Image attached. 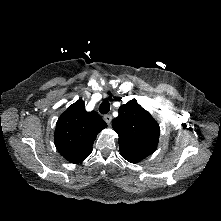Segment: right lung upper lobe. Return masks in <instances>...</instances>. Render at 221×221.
<instances>
[{"label":"right lung upper lobe","mask_w":221,"mask_h":221,"mask_svg":"<svg viewBox=\"0 0 221 221\" xmlns=\"http://www.w3.org/2000/svg\"><path fill=\"white\" fill-rule=\"evenodd\" d=\"M106 127L97 112H87L84 102L78 100L59 117L54 135L55 146L69 162L80 163L91 154L97 134Z\"/></svg>","instance_id":"cb5924a9"}]
</instances>
